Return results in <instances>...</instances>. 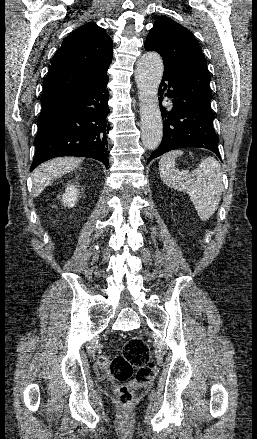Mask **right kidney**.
I'll list each match as a JSON object with an SVG mask.
<instances>
[{
	"label": "right kidney",
	"instance_id": "obj_1",
	"mask_svg": "<svg viewBox=\"0 0 257 439\" xmlns=\"http://www.w3.org/2000/svg\"><path fill=\"white\" fill-rule=\"evenodd\" d=\"M77 193L78 190L76 188V185L74 184L69 185L62 196L63 205L68 207H74L77 202V197H78Z\"/></svg>",
	"mask_w": 257,
	"mask_h": 439
}]
</instances>
